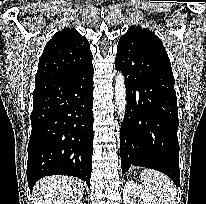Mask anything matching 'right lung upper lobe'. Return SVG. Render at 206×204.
<instances>
[{
    "instance_id": "1",
    "label": "right lung upper lobe",
    "mask_w": 206,
    "mask_h": 204,
    "mask_svg": "<svg viewBox=\"0 0 206 204\" xmlns=\"http://www.w3.org/2000/svg\"><path fill=\"white\" fill-rule=\"evenodd\" d=\"M88 40L73 28L57 32L40 57L35 84L71 74L92 61Z\"/></svg>"
}]
</instances>
